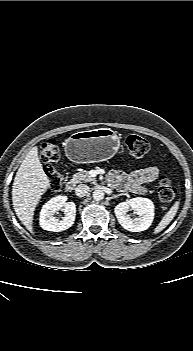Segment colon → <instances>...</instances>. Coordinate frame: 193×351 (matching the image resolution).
<instances>
[{
  "mask_svg": "<svg viewBox=\"0 0 193 351\" xmlns=\"http://www.w3.org/2000/svg\"><path fill=\"white\" fill-rule=\"evenodd\" d=\"M126 146L131 154L136 157L144 156L150 150L149 142L138 135H129L126 138ZM40 157L46 164V176L49 190H58L62 185L64 177L58 166L59 150L55 139L49 138L42 144ZM157 191L160 200L163 202H171L177 195V189L172 179L168 176H162L159 179Z\"/></svg>",
  "mask_w": 193,
  "mask_h": 351,
  "instance_id": "colon-1",
  "label": "colon"
}]
</instances>
